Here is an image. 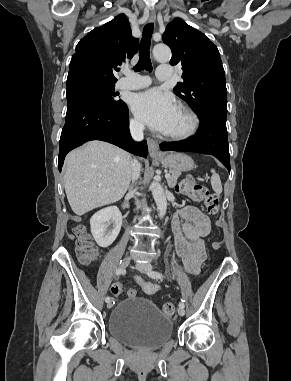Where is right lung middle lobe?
<instances>
[{
    "label": "right lung middle lobe",
    "instance_id": "dd1d6c3e",
    "mask_svg": "<svg viewBox=\"0 0 291 381\" xmlns=\"http://www.w3.org/2000/svg\"><path fill=\"white\" fill-rule=\"evenodd\" d=\"M70 85L87 88L92 93L96 94L107 107L117 108L125 104L122 100L116 99L118 94L114 91V83H102L88 78L73 77L67 79V86Z\"/></svg>",
    "mask_w": 291,
    "mask_h": 381
}]
</instances>
